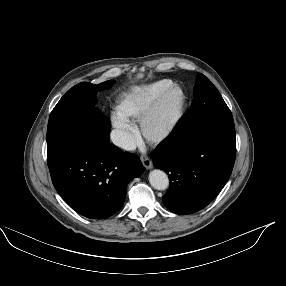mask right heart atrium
Segmentation results:
<instances>
[{
  "mask_svg": "<svg viewBox=\"0 0 286 286\" xmlns=\"http://www.w3.org/2000/svg\"><path fill=\"white\" fill-rule=\"evenodd\" d=\"M111 121L117 132L118 144L126 150L132 149L136 140L135 128L132 123L119 112L112 113Z\"/></svg>",
  "mask_w": 286,
  "mask_h": 286,
  "instance_id": "right-heart-atrium-1",
  "label": "right heart atrium"
}]
</instances>
